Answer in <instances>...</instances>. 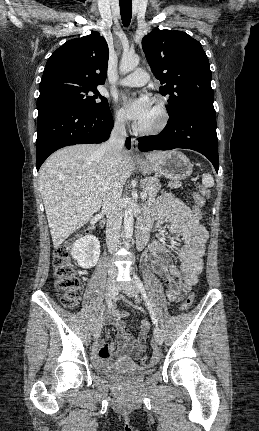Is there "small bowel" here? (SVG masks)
I'll use <instances>...</instances> for the list:
<instances>
[{
  "label": "small bowel",
  "mask_w": 259,
  "mask_h": 431,
  "mask_svg": "<svg viewBox=\"0 0 259 431\" xmlns=\"http://www.w3.org/2000/svg\"><path fill=\"white\" fill-rule=\"evenodd\" d=\"M156 219V238L151 245V269L160 274L167 286L166 296L170 302L181 301L194 286L203 270V256L208 239V233L199 220L194 219L192 208L175 199L171 194L162 195L153 209ZM168 226L171 231V240H163L162 232ZM182 245L176 247L177 240ZM175 252L177 264L173 263L168 255ZM111 315L118 330V347L97 341L95 345L96 360L105 364L112 359L130 362L138 359L145 349V343L150 324L142 320L140 333L134 338L127 330L123 318L127 312L112 308Z\"/></svg>",
  "instance_id": "small-bowel-1"
}]
</instances>
